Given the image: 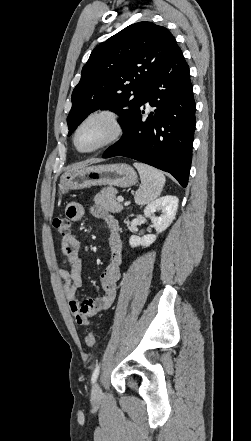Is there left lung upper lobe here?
Masks as SVG:
<instances>
[{
    "label": "left lung upper lobe",
    "instance_id": "obj_1",
    "mask_svg": "<svg viewBox=\"0 0 251 441\" xmlns=\"http://www.w3.org/2000/svg\"><path fill=\"white\" fill-rule=\"evenodd\" d=\"M176 46L175 38L165 27L139 22L96 47L72 93L68 136L98 109L117 113L125 128L144 101L147 84Z\"/></svg>",
    "mask_w": 251,
    "mask_h": 441
}]
</instances>
